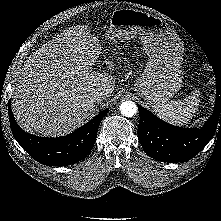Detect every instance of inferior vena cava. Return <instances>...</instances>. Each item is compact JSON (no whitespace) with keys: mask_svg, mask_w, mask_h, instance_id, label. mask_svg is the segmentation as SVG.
I'll list each match as a JSON object with an SVG mask.
<instances>
[{"mask_svg":"<svg viewBox=\"0 0 221 221\" xmlns=\"http://www.w3.org/2000/svg\"><path fill=\"white\" fill-rule=\"evenodd\" d=\"M106 98H107V94L104 91H96V92L92 93V96H91V99L95 103H98Z\"/></svg>","mask_w":221,"mask_h":221,"instance_id":"1","label":"inferior vena cava"}]
</instances>
